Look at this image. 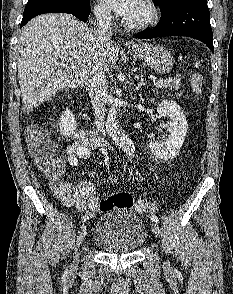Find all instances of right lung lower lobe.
<instances>
[{"label": "right lung lower lobe", "mask_w": 233, "mask_h": 294, "mask_svg": "<svg viewBox=\"0 0 233 294\" xmlns=\"http://www.w3.org/2000/svg\"><path fill=\"white\" fill-rule=\"evenodd\" d=\"M64 13L72 14L73 16L77 17L81 21H86L90 14V3L87 2L79 7H76L72 10H68ZM26 23L21 22V26L25 25Z\"/></svg>", "instance_id": "obj_1"}]
</instances>
